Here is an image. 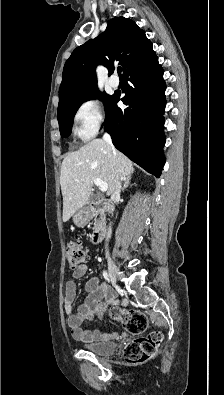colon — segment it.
I'll list each match as a JSON object with an SVG mask.
<instances>
[{
	"label": "colon",
	"mask_w": 224,
	"mask_h": 395,
	"mask_svg": "<svg viewBox=\"0 0 224 395\" xmlns=\"http://www.w3.org/2000/svg\"><path fill=\"white\" fill-rule=\"evenodd\" d=\"M65 256L71 268L81 265L85 258L82 244L79 242L68 243ZM111 316L131 334L141 335L146 330L147 318L139 310L114 308L111 311ZM162 339V334L158 331L136 338L125 345L123 350L125 359L131 364H141L155 358Z\"/></svg>",
	"instance_id": "obj_1"
}]
</instances>
